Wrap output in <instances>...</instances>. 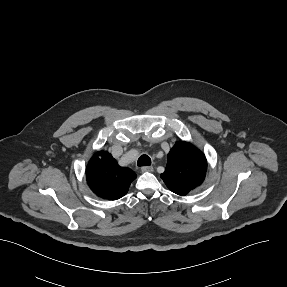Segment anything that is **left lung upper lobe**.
Returning a JSON list of instances; mask_svg holds the SVG:
<instances>
[{
    "instance_id": "5c2ea615",
    "label": "left lung upper lobe",
    "mask_w": 287,
    "mask_h": 287,
    "mask_svg": "<svg viewBox=\"0 0 287 287\" xmlns=\"http://www.w3.org/2000/svg\"><path fill=\"white\" fill-rule=\"evenodd\" d=\"M161 178L174 193L184 196L199 186L206 174L205 155L188 142H177L167 156Z\"/></svg>"
}]
</instances>
